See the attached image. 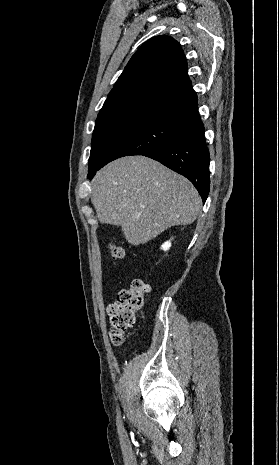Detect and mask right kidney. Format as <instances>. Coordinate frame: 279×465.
<instances>
[{"label":"right kidney","mask_w":279,"mask_h":465,"mask_svg":"<svg viewBox=\"0 0 279 465\" xmlns=\"http://www.w3.org/2000/svg\"><path fill=\"white\" fill-rule=\"evenodd\" d=\"M170 247H171V242L166 241L164 244H162L161 249L164 250V251H167V250H169Z\"/></svg>","instance_id":"obj_1"}]
</instances>
